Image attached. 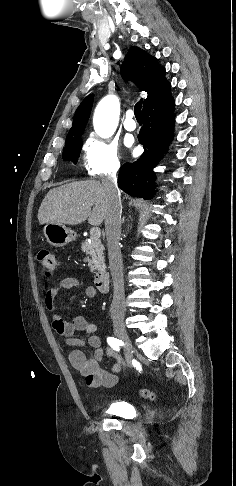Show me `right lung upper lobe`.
I'll return each instance as SVG.
<instances>
[{
  "label": "right lung upper lobe",
  "instance_id": "right-lung-upper-lobe-1",
  "mask_svg": "<svg viewBox=\"0 0 236 486\" xmlns=\"http://www.w3.org/2000/svg\"><path fill=\"white\" fill-rule=\"evenodd\" d=\"M122 76L134 81L148 96L143 107L170 93V84L165 78V69L155 57L138 47H131L121 67ZM93 95L87 96L76 110L73 125L66 137V143L80 139L88 122Z\"/></svg>",
  "mask_w": 236,
  "mask_h": 486
}]
</instances>
